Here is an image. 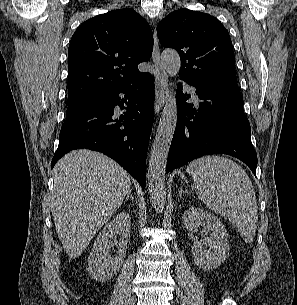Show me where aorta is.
Masks as SVG:
<instances>
[{
    "label": "aorta",
    "mask_w": 297,
    "mask_h": 305,
    "mask_svg": "<svg viewBox=\"0 0 297 305\" xmlns=\"http://www.w3.org/2000/svg\"><path fill=\"white\" fill-rule=\"evenodd\" d=\"M161 61L163 68L171 77L178 75L181 61L176 50H164ZM176 122L177 105L173 90L165 101L148 164V189L152 206L157 212L164 209L166 201V163Z\"/></svg>",
    "instance_id": "762f6f07"
}]
</instances>
